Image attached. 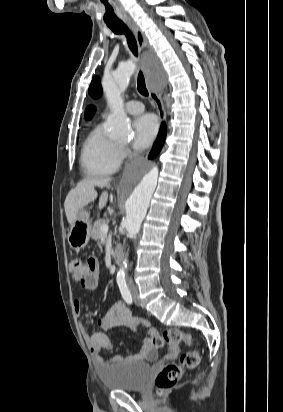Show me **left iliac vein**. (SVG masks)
<instances>
[{
  "label": "left iliac vein",
  "instance_id": "obj_1",
  "mask_svg": "<svg viewBox=\"0 0 283 412\" xmlns=\"http://www.w3.org/2000/svg\"><path fill=\"white\" fill-rule=\"evenodd\" d=\"M131 293H132V296H133V299H134V303H135L136 305H140V299H139V296H138V291H137V289H136V288H132V289H131Z\"/></svg>",
  "mask_w": 283,
  "mask_h": 412
}]
</instances>
